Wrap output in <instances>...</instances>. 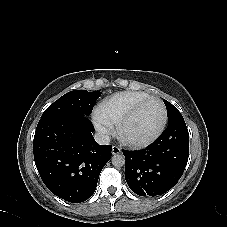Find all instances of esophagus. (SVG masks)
<instances>
[{
  "label": "esophagus",
  "instance_id": "esophagus-1",
  "mask_svg": "<svg viewBox=\"0 0 227 227\" xmlns=\"http://www.w3.org/2000/svg\"><path fill=\"white\" fill-rule=\"evenodd\" d=\"M119 153H121V149L118 146H113L112 147V154L116 155V154H119Z\"/></svg>",
  "mask_w": 227,
  "mask_h": 227
}]
</instances>
